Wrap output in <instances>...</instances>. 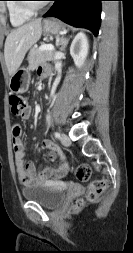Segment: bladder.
Returning a JSON list of instances; mask_svg holds the SVG:
<instances>
[{
	"label": "bladder",
	"mask_w": 133,
	"mask_h": 253,
	"mask_svg": "<svg viewBox=\"0 0 133 253\" xmlns=\"http://www.w3.org/2000/svg\"><path fill=\"white\" fill-rule=\"evenodd\" d=\"M22 197L41 206L54 209L59 207L64 200V192L54 186L47 184H32L21 189Z\"/></svg>",
	"instance_id": "bladder-1"
}]
</instances>
